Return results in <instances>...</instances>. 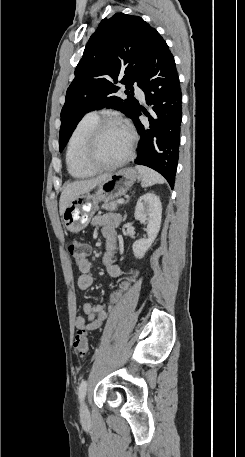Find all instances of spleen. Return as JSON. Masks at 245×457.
I'll list each match as a JSON object with an SVG mask.
<instances>
[{"label":"spleen","instance_id":"spleen-1","mask_svg":"<svg viewBox=\"0 0 245 457\" xmlns=\"http://www.w3.org/2000/svg\"><path fill=\"white\" fill-rule=\"evenodd\" d=\"M138 172L141 174V186H152V184H162L164 182L163 176L159 172H155L152 168H147V166H136Z\"/></svg>","mask_w":245,"mask_h":457}]
</instances>
